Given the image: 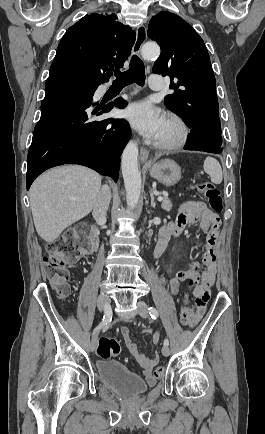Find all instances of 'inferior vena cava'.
I'll use <instances>...</instances> for the list:
<instances>
[{"instance_id": "inferior-vena-cava-1", "label": "inferior vena cava", "mask_w": 265, "mask_h": 434, "mask_svg": "<svg viewBox=\"0 0 265 434\" xmlns=\"http://www.w3.org/2000/svg\"><path fill=\"white\" fill-rule=\"evenodd\" d=\"M111 200V190L109 186H102L97 198L96 202L93 206V218L96 220V222H102V224H105L106 222V214L107 210L109 208Z\"/></svg>"}]
</instances>
